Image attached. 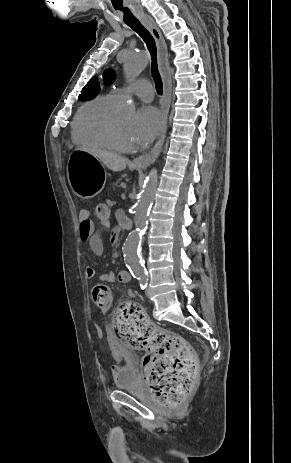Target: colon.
<instances>
[{
	"label": "colon",
	"instance_id": "colon-1",
	"mask_svg": "<svg viewBox=\"0 0 291 463\" xmlns=\"http://www.w3.org/2000/svg\"><path fill=\"white\" fill-rule=\"evenodd\" d=\"M112 204L93 206V217L99 225L108 223ZM95 305L107 310L113 296L106 284L92 289ZM113 328L124 344L148 349L143 363V374L155 399L164 405L182 403L191 393L197 378V360L191 347L178 335L156 330L141 308L134 303H121L113 313Z\"/></svg>",
	"mask_w": 291,
	"mask_h": 463
}]
</instances>
